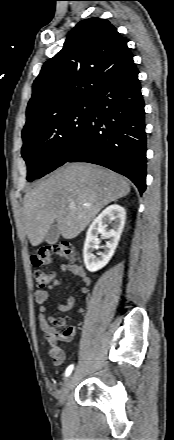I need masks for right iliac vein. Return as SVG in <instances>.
Listing matches in <instances>:
<instances>
[{
    "label": "right iliac vein",
    "mask_w": 174,
    "mask_h": 440,
    "mask_svg": "<svg viewBox=\"0 0 174 440\" xmlns=\"http://www.w3.org/2000/svg\"><path fill=\"white\" fill-rule=\"evenodd\" d=\"M73 386V375H69L63 383L60 395H59V404L64 405L67 395L72 389Z\"/></svg>",
    "instance_id": "63e3f726"
}]
</instances>
